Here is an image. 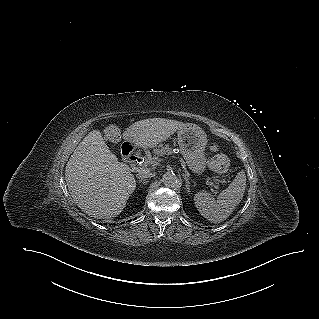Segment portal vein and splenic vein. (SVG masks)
<instances>
[{"mask_svg":"<svg viewBox=\"0 0 319 319\" xmlns=\"http://www.w3.org/2000/svg\"><path fill=\"white\" fill-rule=\"evenodd\" d=\"M146 163L148 164V163H150V162H149V161H147V162H145V164H146ZM211 185H212L213 187H215L216 189L218 188V187H217L216 185H214L213 183H211ZM213 193H214V194H216V193H217V191H213Z\"/></svg>","mask_w":319,"mask_h":319,"instance_id":"1","label":"portal vein and splenic vein"}]
</instances>
